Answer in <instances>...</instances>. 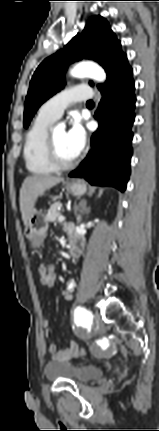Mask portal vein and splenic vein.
Here are the masks:
<instances>
[{"label":"portal vein and splenic vein","mask_w":159,"mask_h":431,"mask_svg":"<svg viewBox=\"0 0 159 431\" xmlns=\"http://www.w3.org/2000/svg\"><path fill=\"white\" fill-rule=\"evenodd\" d=\"M65 220V217L63 216V215H60L59 217H58V221L59 222H63Z\"/></svg>","instance_id":"18ae733b"}]
</instances>
